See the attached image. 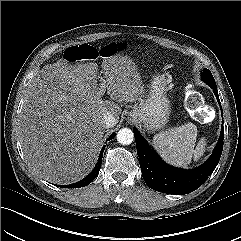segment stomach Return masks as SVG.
<instances>
[{
    "label": "stomach",
    "mask_w": 241,
    "mask_h": 241,
    "mask_svg": "<svg viewBox=\"0 0 241 241\" xmlns=\"http://www.w3.org/2000/svg\"><path fill=\"white\" fill-rule=\"evenodd\" d=\"M169 83V79L165 76H155L149 85L146 97L129 112L128 119L142 123L148 131L164 128L171 112L167 97Z\"/></svg>",
    "instance_id": "1"
}]
</instances>
